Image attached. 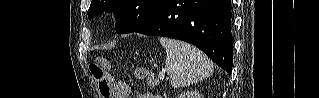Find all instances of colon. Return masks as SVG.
I'll use <instances>...</instances> for the list:
<instances>
[{"label":"colon","instance_id":"colon-1","mask_svg":"<svg viewBox=\"0 0 319 98\" xmlns=\"http://www.w3.org/2000/svg\"><path fill=\"white\" fill-rule=\"evenodd\" d=\"M107 62L103 61L102 65L100 64H91L89 69L91 72L92 77L97 83L98 89L103 98H111L112 97V90L110 86V79L107 77L105 69L103 66H106ZM135 77L138 79H147V84L149 87H154L157 84L156 76L147 71L144 68H140L136 70Z\"/></svg>","mask_w":319,"mask_h":98}]
</instances>
